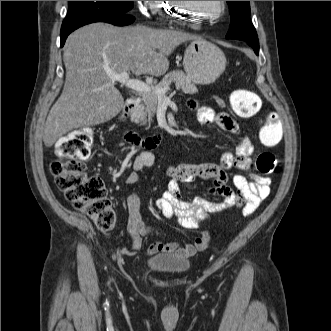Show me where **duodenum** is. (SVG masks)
<instances>
[{
  "mask_svg": "<svg viewBox=\"0 0 331 331\" xmlns=\"http://www.w3.org/2000/svg\"><path fill=\"white\" fill-rule=\"evenodd\" d=\"M137 105L138 99L135 97L130 98L124 106L121 113V119L127 120ZM123 138L133 148L154 147L159 143L161 134L153 135L149 138H142L135 131L126 129L123 132Z\"/></svg>",
  "mask_w": 331,
  "mask_h": 331,
  "instance_id": "obj_1",
  "label": "duodenum"
}]
</instances>
